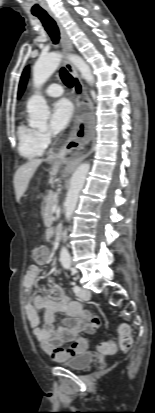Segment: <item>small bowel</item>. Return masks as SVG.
Masks as SVG:
<instances>
[{
	"instance_id": "c3829d8e",
	"label": "small bowel",
	"mask_w": 155,
	"mask_h": 413,
	"mask_svg": "<svg viewBox=\"0 0 155 413\" xmlns=\"http://www.w3.org/2000/svg\"><path fill=\"white\" fill-rule=\"evenodd\" d=\"M40 276L41 268L39 266L31 265L28 267L24 277V287L27 291L35 286ZM46 290V295L30 296L25 306L26 317L35 338L45 351L47 345H54L62 349H66L73 344L77 345L74 351L62 353L60 359L56 360L65 361L86 351L87 341L80 339L72 343L74 337L81 332L93 333L99 326L100 319L85 311L79 302L70 299L60 286L49 284ZM40 309L43 310V326H41ZM57 313H65L67 318L63 320L61 326L55 328L53 323ZM65 343L72 344L66 348L61 347Z\"/></svg>"
}]
</instances>
